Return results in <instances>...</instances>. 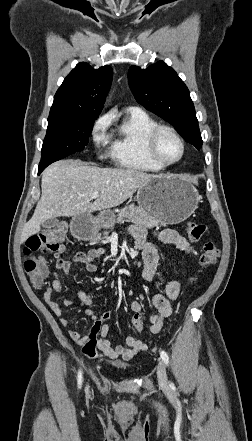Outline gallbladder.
Listing matches in <instances>:
<instances>
[{"instance_id":"obj_1","label":"gallbladder","mask_w":252,"mask_h":441,"mask_svg":"<svg viewBox=\"0 0 252 441\" xmlns=\"http://www.w3.org/2000/svg\"><path fill=\"white\" fill-rule=\"evenodd\" d=\"M58 224H59V220L57 218H52V219L46 220L42 224V227L45 228V229H50L52 227H55Z\"/></svg>"}]
</instances>
